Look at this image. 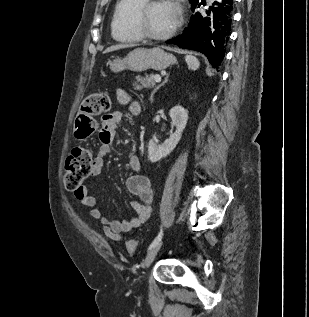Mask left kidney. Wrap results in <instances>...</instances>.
<instances>
[{
	"label": "left kidney",
	"instance_id": "left-kidney-1",
	"mask_svg": "<svg viewBox=\"0 0 309 317\" xmlns=\"http://www.w3.org/2000/svg\"><path fill=\"white\" fill-rule=\"evenodd\" d=\"M169 115L175 125V132L162 144H156L153 140L148 143V159L154 163L169 155L181 139L182 132L188 120V111L182 106L177 105L170 109Z\"/></svg>",
	"mask_w": 309,
	"mask_h": 317
}]
</instances>
